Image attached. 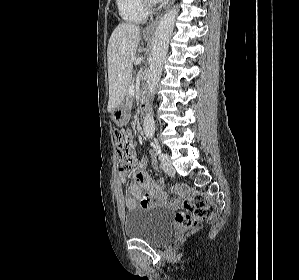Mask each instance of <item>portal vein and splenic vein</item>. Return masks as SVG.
Masks as SVG:
<instances>
[{
	"mask_svg": "<svg viewBox=\"0 0 299 280\" xmlns=\"http://www.w3.org/2000/svg\"><path fill=\"white\" fill-rule=\"evenodd\" d=\"M129 93L134 94V86L133 85L129 87Z\"/></svg>",
	"mask_w": 299,
	"mask_h": 280,
	"instance_id": "obj_1",
	"label": "portal vein and splenic vein"
}]
</instances>
